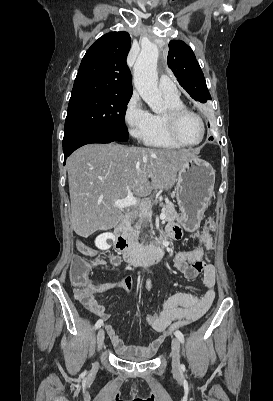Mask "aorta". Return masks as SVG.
Instances as JSON below:
<instances>
[{
  "label": "aorta",
  "instance_id": "aorta-1",
  "mask_svg": "<svg viewBox=\"0 0 273 401\" xmlns=\"http://www.w3.org/2000/svg\"><path fill=\"white\" fill-rule=\"evenodd\" d=\"M158 48L154 44L142 47L134 65V85L142 99L153 112L162 106V95L157 87Z\"/></svg>",
  "mask_w": 273,
  "mask_h": 401
}]
</instances>
